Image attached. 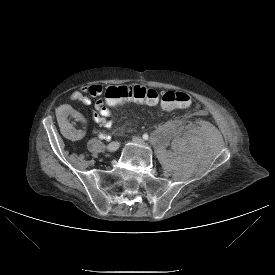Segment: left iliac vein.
Instances as JSON below:
<instances>
[{"mask_svg": "<svg viewBox=\"0 0 275 275\" xmlns=\"http://www.w3.org/2000/svg\"><path fill=\"white\" fill-rule=\"evenodd\" d=\"M133 141H134L135 143H140V144L143 143V140H142L140 137H137V136H134V137H133Z\"/></svg>", "mask_w": 275, "mask_h": 275, "instance_id": "1", "label": "left iliac vein"}]
</instances>
